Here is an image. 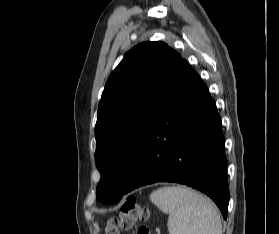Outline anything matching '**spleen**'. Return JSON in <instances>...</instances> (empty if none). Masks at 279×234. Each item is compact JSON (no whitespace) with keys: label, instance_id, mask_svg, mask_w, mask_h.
I'll list each match as a JSON object with an SVG mask.
<instances>
[{"label":"spleen","instance_id":"spleen-1","mask_svg":"<svg viewBox=\"0 0 279 234\" xmlns=\"http://www.w3.org/2000/svg\"><path fill=\"white\" fill-rule=\"evenodd\" d=\"M150 200L169 215V234H222L217 207L205 196L185 186L159 188Z\"/></svg>","mask_w":279,"mask_h":234}]
</instances>
